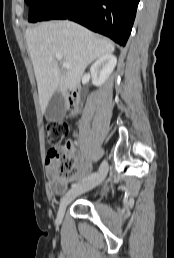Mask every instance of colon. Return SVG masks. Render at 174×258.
Listing matches in <instances>:
<instances>
[{
	"instance_id": "1",
	"label": "colon",
	"mask_w": 174,
	"mask_h": 258,
	"mask_svg": "<svg viewBox=\"0 0 174 258\" xmlns=\"http://www.w3.org/2000/svg\"><path fill=\"white\" fill-rule=\"evenodd\" d=\"M70 131V125L63 121H53L47 125V139L52 148L48 153L49 160L55 161L59 178L67 179L76 172V165L70 155L71 144L64 142Z\"/></svg>"
}]
</instances>
